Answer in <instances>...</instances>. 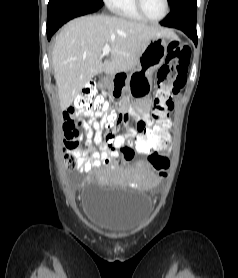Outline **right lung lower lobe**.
<instances>
[{"mask_svg": "<svg viewBox=\"0 0 238 278\" xmlns=\"http://www.w3.org/2000/svg\"><path fill=\"white\" fill-rule=\"evenodd\" d=\"M101 5L87 0H49L47 12V38L67 21L88 13L96 12Z\"/></svg>", "mask_w": 238, "mask_h": 278, "instance_id": "1", "label": "right lung lower lobe"}]
</instances>
